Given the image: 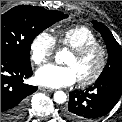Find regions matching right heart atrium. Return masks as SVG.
Instances as JSON below:
<instances>
[{
  "label": "right heart atrium",
  "mask_w": 122,
  "mask_h": 122,
  "mask_svg": "<svg viewBox=\"0 0 122 122\" xmlns=\"http://www.w3.org/2000/svg\"><path fill=\"white\" fill-rule=\"evenodd\" d=\"M56 48L55 38L47 31L39 32L30 44L31 60L40 65L51 58Z\"/></svg>",
  "instance_id": "1"
}]
</instances>
